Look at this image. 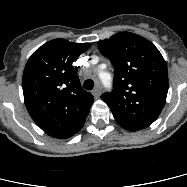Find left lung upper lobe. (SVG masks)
<instances>
[{
	"label": "left lung upper lobe",
	"mask_w": 187,
	"mask_h": 187,
	"mask_svg": "<svg viewBox=\"0 0 187 187\" xmlns=\"http://www.w3.org/2000/svg\"><path fill=\"white\" fill-rule=\"evenodd\" d=\"M114 67L113 90L101 98L116 122L134 132L151 125L161 113L168 92V71L153 43L130 32L98 42Z\"/></svg>",
	"instance_id": "5c2ea615"
}]
</instances>
